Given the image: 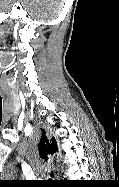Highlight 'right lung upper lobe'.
<instances>
[{
	"mask_svg": "<svg viewBox=\"0 0 119 187\" xmlns=\"http://www.w3.org/2000/svg\"><path fill=\"white\" fill-rule=\"evenodd\" d=\"M52 140L53 143L51 144L45 135V131L42 129V136L38 144V148L40 157L43 158L45 161L48 160L49 154L52 155L57 150L55 139L52 138Z\"/></svg>",
	"mask_w": 119,
	"mask_h": 187,
	"instance_id": "obj_1",
	"label": "right lung upper lobe"
}]
</instances>
